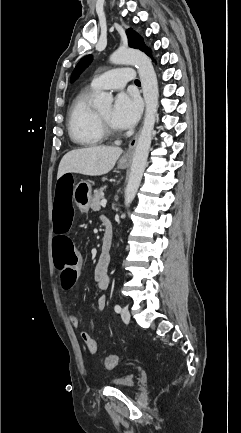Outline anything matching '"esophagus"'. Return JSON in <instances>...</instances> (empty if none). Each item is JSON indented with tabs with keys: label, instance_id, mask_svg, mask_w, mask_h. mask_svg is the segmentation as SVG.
<instances>
[{
	"label": "esophagus",
	"instance_id": "1",
	"mask_svg": "<svg viewBox=\"0 0 241 433\" xmlns=\"http://www.w3.org/2000/svg\"><path fill=\"white\" fill-rule=\"evenodd\" d=\"M139 132L129 142L128 149H127V151L125 152V154L122 157L123 160H129V159L132 158L133 151H134V148H135V146L137 144V140H138V137H139Z\"/></svg>",
	"mask_w": 241,
	"mask_h": 433
}]
</instances>
